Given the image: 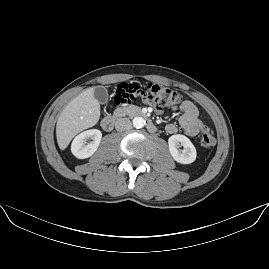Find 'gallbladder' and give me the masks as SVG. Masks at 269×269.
Listing matches in <instances>:
<instances>
[{
  "label": "gallbladder",
  "instance_id": "1",
  "mask_svg": "<svg viewBox=\"0 0 269 269\" xmlns=\"http://www.w3.org/2000/svg\"><path fill=\"white\" fill-rule=\"evenodd\" d=\"M94 96L101 104H105L108 101V92L104 87H96L94 90Z\"/></svg>",
  "mask_w": 269,
  "mask_h": 269
}]
</instances>
